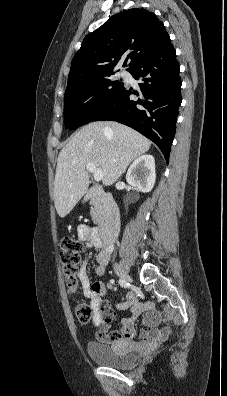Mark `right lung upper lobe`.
I'll return each instance as SVG.
<instances>
[{
  "label": "right lung upper lobe",
  "mask_w": 227,
  "mask_h": 396,
  "mask_svg": "<svg viewBox=\"0 0 227 396\" xmlns=\"http://www.w3.org/2000/svg\"><path fill=\"white\" fill-rule=\"evenodd\" d=\"M168 42L170 37L154 13L133 8L116 14L84 38L72 60L67 88L113 72L124 57L123 66L129 60L130 68Z\"/></svg>",
  "instance_id": "1"
}]
</instances>
